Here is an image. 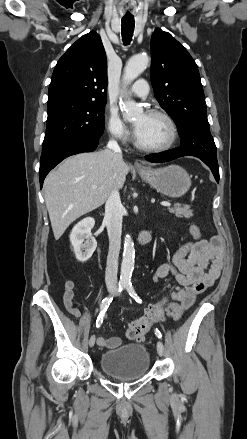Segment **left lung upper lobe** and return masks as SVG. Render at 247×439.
I'll list each match as a JSON object with an SVG mask.
<instances>
[{"mask_svg": "<svg viewBox=\"0 0 247 439\" xmlns=\"http://www.w3.org/2000/svg\"><path fill=\"white\" fill-rule=\"evenodd\" d=\"M151 59L154 94L177 125L182 138L180 149L201 159L211 170H219L195 61L177 40L161 29L152 34Z\"/></svg>", "mask_w": 247, "mask_h": 439, "instance_id": "5c2ea615", "label": "left lung upper lobe"}]
</instances>
